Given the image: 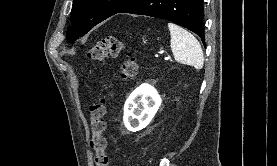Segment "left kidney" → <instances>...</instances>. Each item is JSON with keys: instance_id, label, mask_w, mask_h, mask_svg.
Returning <instances> with one entry per match:
<instances>
[{"instance_id": "1", "label": "left kidney", "mask_w": 277, "mask_h": 166, "mask_svg": "<svg viewBox=\"0 0 277 166\" xmlns=\"http://www.w3.org/2000/svg\"><path fill=\"white\" fill-rule=\"evenodd\" d=\"M161 101L156 89L147 83L135 89L124 105L125 127L131 132L145 128L157 113Z\"/></svg>"}]
</instances>
